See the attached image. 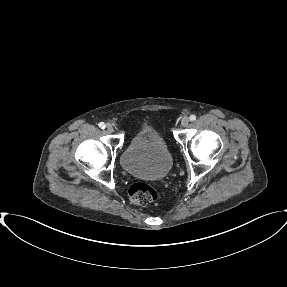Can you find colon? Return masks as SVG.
Masks as SVG:
<instances>
[{
    "instance_id": "colon-1",
    "label": "colon",
    "mask_w": 287,
    "mask_h": 287,
    "mask_svg": "<svg viewBox=\"0 0 287 287\" xmlns=\"http://www.w3.org/2000/svg\"><path fill=\"white\" fill-rule=\"evenodd\" d=\"M129 197L132 203L145 206L156 200L157 193L145 183H135L129 189Z\"/></svg>"
}]
</instances>
